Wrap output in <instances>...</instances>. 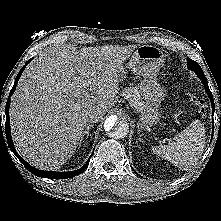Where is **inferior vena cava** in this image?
Returning <instances> with one entry per match:
<instances>
[{
	"mask_svg": "<svg viewBox=\"0 0 221 221\" xmlns=\"http://www.w3.org/2000/svg\"><path fill=\"white\" fill-rule=\"evenodd\" d=\"M105 113L102 111H94L88 114L87 122L90 123H97Z\"/></svg>",
	"mask_w": 221,
	"mask_h": 221,
	"instance_id": "602c4592",
	"label": "inferior vena cava"
}]
</instances>
